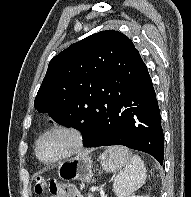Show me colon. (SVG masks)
<instances>
[{"instance_id":"obj_1","label":"colon","mask_w":191,"mask_h":197,"mask_svg":"<svg viewBox=\"0 0 191 197\" xmlns=\"http://www.w3.org/2000/svg\"><path fill=\"white\" fill-rule=\"evenodd\" d=\"M35 191L36 193H44L45 191H49L53 195H60L64 193L62 192L61 187H59L54 180L49 177L42 176L36 179Z\"/></svg>"}]
</instances>
